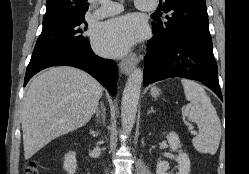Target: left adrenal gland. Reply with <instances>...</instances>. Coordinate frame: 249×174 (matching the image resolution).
I'll return each mask as SVG.
<instances>
[{
	"label": "left adrenal gland",
	"mask_w": 249,
	"mask_h": 174,
	"mask_svg": "<svg viewBox=\"0 0 249 174\" xmlns=\"http://www.w3.org/2000/svg\"><path fill=\"white\" fill-rule=\"evenodd\" d=\"M150 113H156V111L154 110L153 107H151V108L149 109L148 114H150Z\"/></svg>",
	"instance_id": "obj_1"
}]
</instances>
